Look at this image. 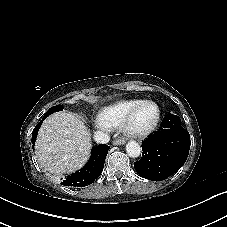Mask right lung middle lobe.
Wrapping results in <instances>:
<instances>
[{
	"mask_svg": "<svg viewBox=\"0 0 227 227\" xmlns=\"http://www.w3.org/2000/svg\"><path fill=\"white\" fill-rule=\"evenodd\" d=\"M63 110V106L62 105H56V106H53L51 107L44 115L43 118H46L48 117L50 114L54 113V112H57V111H61Z\"/></svg>",
	"mask_w": 227,
	"mask_h": 227,
	"instance_id": "right-lung-middle-lobe-1",
	"label": "right lung middle lobe"
}]
</instances>
